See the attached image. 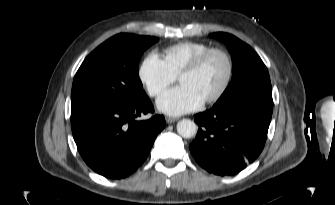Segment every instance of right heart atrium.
<instances>
[{
  "label": "right heart atrium",
  "mask_w": 335,
  "mask_h": 205,
  "mask_svg": "<svg viewBox=\"0 0 335 205\" xmlns=\"http://www.w3.org/2000/svg\"><path fill=\"white\" fill-rule=\"evenodd\" d=\"M138 77L151 97L159 96L175 80L176 76L167 68L156 53L148 54L140 64Z\"/></svg>",
  "instance_id": "right-heart-atrium-1"
}]
</instances>
